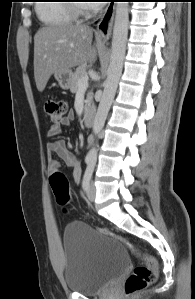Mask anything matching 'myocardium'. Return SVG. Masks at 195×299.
Listing matches in <instances>:
<instances>
[{
    "label": "myocardium",
    "instance_id": "f54148a6",
    "mask_svg": "<svg viewBox=\"0 0 195 299\" xmlns=\"http://www.w3.org/2000/svg\"><path fill=\"white\" fill-rule=\"evenodd\" d=\"M71 10L75 17H85L90 14L91 8L83 3H74L71 5Z\"/></svg>",
    "mask_w": 195,
    "mask_h": 299
}]
</instances>
